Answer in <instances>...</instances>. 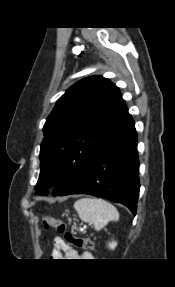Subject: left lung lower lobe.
Here are the masks:
<instances>
[{
    "instance_id": "obj_1",
    "label": "left lung lower lobe",
    "mask_w": 175,
    "mask_h": 287,
    "mask_svg": "<svg viewBox=\"0 0 175 287\" xmlns=\"http://www.w3.org/2000/svg\"><path fill=\"white\" fill-rule=\"evenodd\" d=\"M139 189L137 133L131 118L103 144L83 174L58 195L89 194L121 203L135 214Z\"/></svg>"
}]
</instances>
